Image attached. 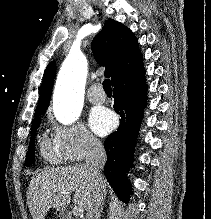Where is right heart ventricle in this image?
<instances>
[{"instance_id":"1","label":"right heart ventricle","mask_w":211,"mask_h":219,"mask_svg":"<svg viewBox=\"0 0 211 219\" xmlns=\"http://www.w3.org/2000/svg\"><path fill=\"white\" fill-rule=\"evenodd\" d=\"M40 152L43 159L49 163L56 164L64 160L54 143L50 142L45 136L40 141Z\"/></svg>"}]
</instances>
